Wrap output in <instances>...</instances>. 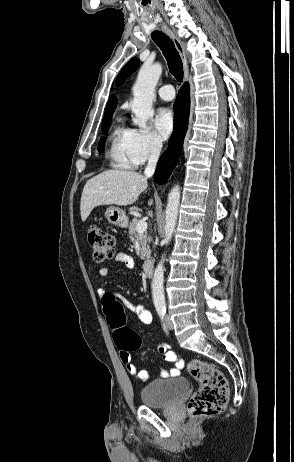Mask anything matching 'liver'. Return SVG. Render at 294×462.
<instances>
[{
	"label": "liver",
	"mask_w": 294,
	"mask_h": 462,
	"mask_svg": "<svg viewBox=\"0 0 294 462\" xmlns=\"http://www.w3.org/2000/svg\"><path fill=\"white\" fill-rule=\"evenodd\" d=\"M147 186V178L135 171L107 170L96 175L86 182L81 195L82 221L97 206L133 204Z\"/></svg>",
	"instance_id": "1"
}]
</instances>
